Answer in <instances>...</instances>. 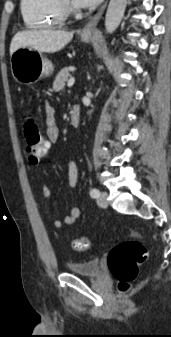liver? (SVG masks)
Segmentation results:
<instances>
[{
	"label": "liver",
	"mask_w": 171,
	"mask_h": 337,
	"mask_svg": "<svg viewBox=\"0 0 171 337\" xmlns=\"http://www.w3.org/2000/svg\"><path fill=\"white\" fill-rule=\"evenodd\" d=\"M73 32L61 30H33L18 32L10 44V55L20 47H30L39 52L55 53L67 45Z\"/></svg>",
	"instance_id": "6515ba94"
}]
</instances>
